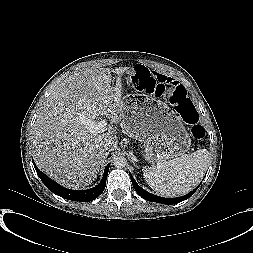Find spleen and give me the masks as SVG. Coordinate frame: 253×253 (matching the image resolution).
I'll list each match as a JSON object with an SVG mask.
<instances>
[{"label":"spleen","mask_w":253,"mask_h":253,"mask_svg":"<svg viewBox=\"0 0 253 253\" xmlns=\"http://www.w3.org/2000/svg\"><path fill=\"white\" fill-rule=\"evenodd\" d=\"M208 151L197 150L156 166L145 168L143 176L149 186L164 197L187 194L201 181L209 163Z\"/></svg>","instance_id":"3e777b00"}]
</instances>
